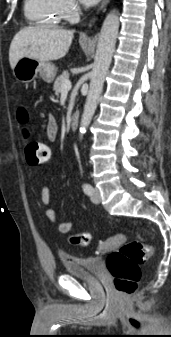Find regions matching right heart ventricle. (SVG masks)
<instances>
[{
    "mask_svg": "<svg viewBox=\"0 0 171 337\" xmlns=\"http://www.w3.org/2000/svg\"><path fill=\"white\" fill-rule=\"evenodd\" d=\"M24 13L31 23L41 26H56L63 19L58 0H25Z\"/></svg>",
    "mask_w": 171,
    "mask_h": 337,
    "instance_id": "obj_1",
    "label": "right heart ventricle"
}]
</instances>
